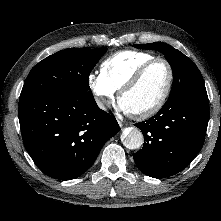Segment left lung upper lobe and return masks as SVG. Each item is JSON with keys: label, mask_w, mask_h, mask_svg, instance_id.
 Listing matches in <instances>:
<instances>
[{"label": "left lung upper lobe", "mask_w": 221, "mask_h": 221, "mask_svg": "<svg viewBox=\"0 0 221 221\" xmlns=\"http://www.w3.org/2000/svg\"><path fill=\"white\" fill-rule=\"evenodd\" d=\"M134 47L157 50L165 55L173 70V85L169 98L184 94L206 93L199 69L191 59L179 50L162 42L134 45Z\"/></svg>", "instance_id": "1"}]
</instances>
